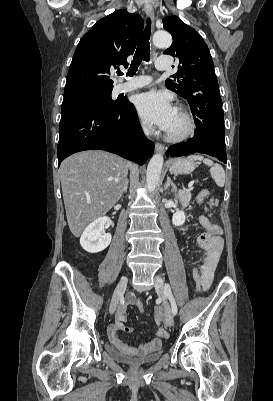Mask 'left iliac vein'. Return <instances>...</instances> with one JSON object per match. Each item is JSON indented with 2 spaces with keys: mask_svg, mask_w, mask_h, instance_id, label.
I'll list each match as a JSON object with an SVG mask.
<instances>
[{
  "mask_svg": "<svg viewBox=\"0 0 273 401\" xmlns=\"http://www.w3.org/2000/svg\"><path fill=\"white\" fill-rule=\"evenodd\" d=\"M155 290L157 291L158 295L160 297H164L165 295V287L163 283V279L160 276H155ZM164 306H165V322L168 327H172L174 324V316L172 313V309L170 304L164 300Z\"/></svg>",
  "mask_w": 273,
  "mask_h": 401,
  "instance_id": "4c4485c4",
  "label": "left iliac vein"
}]
</instances>
